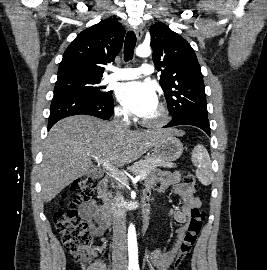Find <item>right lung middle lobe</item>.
Masks as SVG:
<instances>
[{"instance_id":"1","label":"right lung middle lobe","mask_w":267,"mask_h":270,"mask_svg":"<svg viewBox=\"0 0 267 270\" xmlns=\"http://www.w3.org/2000/svg\"><path fill=\"white\" fill-rule=\"evenodd\" d=\"M101 78H90L78 75L58 77L54 96L67 95L86 99H106L112 95L111 91H104V87L98 86Z\"/></svg>"}]
</instances>
